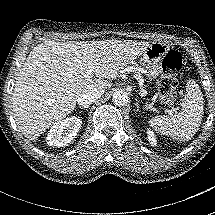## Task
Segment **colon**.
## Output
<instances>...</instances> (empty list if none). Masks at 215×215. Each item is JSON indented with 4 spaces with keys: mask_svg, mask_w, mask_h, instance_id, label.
I'll return each mask as SVG.
<instances>
[{
    "mask_svg": "<svg viewBox=\"0 0 215 215\" xmlns=\"http://www.w3.org/2000/svg\"><path fill=\"white\" fill-rule=\"evenodd\" d=\"M181 67L182 55L177 51H169L161 64L165 76L158 83L159 97L165 104L173 105L177 101L176 74Z\"/></svg>",
    "mask_w": 215,
    "mask_h": 215,
    "instance_id": "colon-1",
    "label": "colon"
}]
</instances>
